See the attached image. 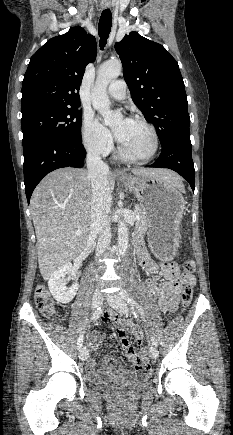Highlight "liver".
Instances as JSON below:
<instances>
[{
	"instance_id": "liver-1",
	"label": "liver",
	"mask_w": 233,
	"mask_h": 435,
	"mask_svg": "<svg viewBox=\"0 0 233 435\" xmlns=\"http://www.w3.org/2000/svg\"><path fill=\"white\" fill-rule=\"evenodd\" d=\"M134 175L158 177L183 190L181 178L158 168L134 169ZM110 191L115 176L107 174ZM92 186L88 172L60 168L49 173L35 188L30 211L37 238L38 264L42 277H49L84 250L91 223ZM76 231H81L76 235Z\"/></svg>"
}]
</instances>
